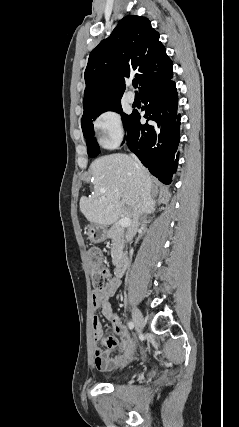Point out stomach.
I'll return each instance as SVG.
<instances>
[{
    "mask_svg": "<svg viewBox=\"0 0 239 427\" xmlns=\"http://www.w3.org/2000/svg\"><path fill=\"white\" fill-rule=\"evenodd\" d=\"M87 235L92 243H100L108 238V230L106 226L93 223L88 227Z\"/></svg>",
    "mask_w": 239,
    "mask_h": 427,
    "instance_id": "0dacf381",
    "label": "stomach"
}]
</instances>
